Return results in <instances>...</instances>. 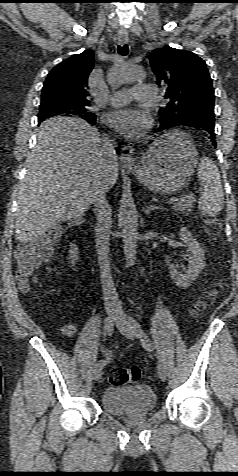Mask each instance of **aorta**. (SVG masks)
<instances>
[{"mask_svg":"<svg viewBox=\"0 0 238 476\" xmlns=\"http://www.w3.org/2000/svg\"><path fill=\"white\" fill-rule=\"evenodd\" d=\"M145 78L144 71L139 66H122L114 75L116 82H136ZM122 237L124 243V255L128 266H133L137 254V219L135 213L125 211L123 219Z\"/></svg>","mask_w":238,"mask_h":476,"instance_id":"aorta-1","label":"aorta"}]
</instances>
